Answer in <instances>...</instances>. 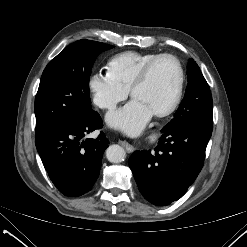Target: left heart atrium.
Returning a JSON list of instances; mask_svg holds the SVG:
<instances>
[{
  "label": "left heart atrium",
  "mask_w": 247,
  "mask_h": 247,
  "mask_svg": "<svg viewBox=\"0 0 247 247\" xmlns=\"http://www.w3.org/2000/svg\"><path fill=\"white\" fill-rule=\"evenodd\" d=\"M153 112L137 99L131 100L121 109L107 115L108 124L128 133L139 132L151 118Z\"/></svg>",
  "instance_id": "left-heart-atrium-1"
}]
</instances>
